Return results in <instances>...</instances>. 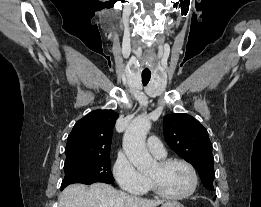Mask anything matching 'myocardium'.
I'll use <instances>...</instances> for the list:
<instances>
[{"label": "myocardium", "mask_w": 261, "mask_h": 207, "mask_svg": "<svg viewBox=\"0 0 261 207\" xmlns=\"http://www.w3.org/2000/svg\"><path fill=\"white\" fill-rule=\"evenodd\" d=\"M172 164H181L188 169L190 176H191L190 188L185 193H182V194H177V195L169 194V193L165 192L156 183V181L153 178L149 177V182H150L152 189L158 196H160L164 199H168V200H183V199H186V198L192 196L195 193L197 186H198V177H197L195 168L193 167V165L191 163H189L188 161H186L184 159H180V158H165V159H161L158 161V165L160 167H167Z\"/></svg>", "instance_id": "f54148a6"}]
</instances>
